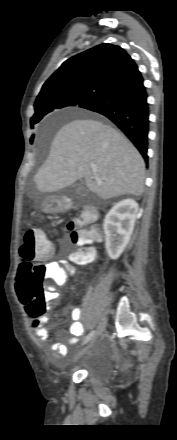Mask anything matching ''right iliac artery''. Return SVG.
Instances as JSON below:
<instances>
[{"instance_id":"obj_1","label":"right iliac artery","mask_w":177,"mask_h":440,"mask_svg":"<svg viewBox=\"0 0 177 440\" xmlns=\"http://www.w3.org/2000/svg\"><path fill=\"white\" fill-rule=\"evenodd\" d=\"M95 335V331L90 332L84 339L83 344L87 343L89 340H91Z\"/></svg>"}]
</instances>
